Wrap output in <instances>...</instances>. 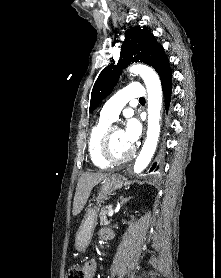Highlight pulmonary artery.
I'll list each match as a JSON object with an SVG mask.
<instances>
[{
  "label": "pulmonary artery",
  "instance_id": "e3ab8cb5",
  "mask_svg": "<svg viewBox=\"0 0 221 278\" xmlns=\"http://www.w3.org/2000/svg\"><path fill=\"white\" fill-rule=\"evenodd\" d=\"M144 96V88L136 83H131L105 103L100 115L112 122L117 119L120 111L129 100L139 99Z\"/></svg>",
  "mask_w": 221,
  "mask_h": 278
}]
</instances>
